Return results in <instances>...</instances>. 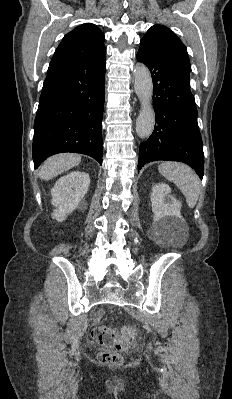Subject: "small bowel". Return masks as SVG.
<instances>
[{"label": "small bowel", "instance_id": "obj_1", "mask_svg": "<svg viewBox=\"0 0 232 399\" xmlns=\"http://www.w3.org/2000/svg\"><path fill=\"white\" fill-rule=\"evenodd\" d=\"M103 314H104V310H103V309L99 310V311L96 313V315H95V317H94L95 323H98V322L102 319Z\"/></svg>", "mask_w": 232, "mask_h": 399}]
</instances>
